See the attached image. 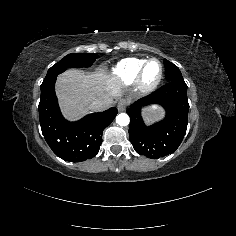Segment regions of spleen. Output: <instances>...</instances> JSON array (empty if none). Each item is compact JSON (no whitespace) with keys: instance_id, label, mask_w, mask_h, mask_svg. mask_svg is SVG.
<instances>
[{"instance_id":"spleen-1","label":"spleen","mask_w":236,"mask_h":236,"mask_svg":"<svg viewBox=\"0 0 236 236\" xmlns=\"http://www.w3.org/2000/svg\"><path fill=\"white\" fill-rule=\"evenodd\" d=\"M144 120L146 124L151 125V120L147 116H144Z\"/></svg>"}]
</instances>
